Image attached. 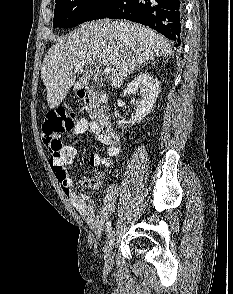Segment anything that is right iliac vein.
Masks as SVG:
<instances>
[{"mask_svg": "<svg viewBox=\"0 0 233 294\" xmlns=\"http://www.w3.org/2000/svg\"><path fill=\"white\" fill-rule=\"evenodd\" d=\"M115 241V233L111 231L107 238L104 248V260L107 268H111L113 265V246Z\"/></svg>", "mask_w": 233, "mask_h": 294, "instance_id": "1", "label": "right iliac vein"}]
</instances>
